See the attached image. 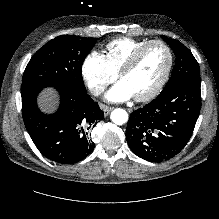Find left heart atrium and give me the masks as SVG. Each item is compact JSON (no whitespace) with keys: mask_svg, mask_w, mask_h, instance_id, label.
I'll use <instances>...</instances> for the list:
<instances>
[{"mask_svg":"<svg viewBox=\"0 0 219 219\" xmlns=\"http://www.w3.org/2000/svg\"><path fill=\"white\" fill-rule=\"evenodd\" d=\"M105 97L111 102H121L134 96L127 84L121 80L107 91Z\"/></svg>","mask_w":219,"mask_h":219,"instance_id":"39dd6f15","label":"left heart atrium"}]
</instances>
